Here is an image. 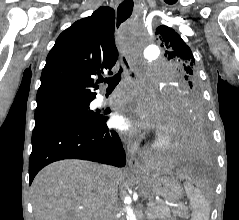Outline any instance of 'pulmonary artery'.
<instances>
[{
    "mask_svg": "<svg viewBox=\"0 0 239 220\" xmlns=\"http://www.w3.org/2000/svg\"><path fill=\"white\" fill-rule=\"evenodd\" d=\"M100 102H101V103H107V102H109V99L102 98V99H100Z\"/></svg>",
    "mask_w": 239,
    "mask_h": 220,
    "instance_id": "e3ab8cb5",
    "label": "pulmonary artery"
}]
</instances>
